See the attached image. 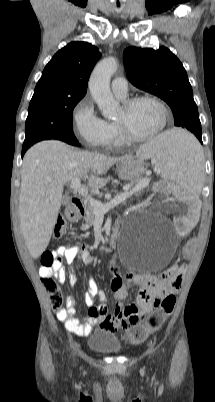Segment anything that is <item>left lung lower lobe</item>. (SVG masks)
Listing matches in <instances>:
<instances>
[{
	"label": "left lung lower lobe",
	"mask_w": 215,
	"mask_h": 402,
	"mask_svg": "<svg viewBox=\"0 0 215 402\" xmlns=\"http://www.w3.org/2000/svg\"><path fill=\"white\" fill-rule=\"evenodd\" d=\"M198 139H199V141L202 143V139H201V137H198Z\"/></svg>",
	"instance_id": "left-lung-lower-lobe-1"
}]
</instances>
